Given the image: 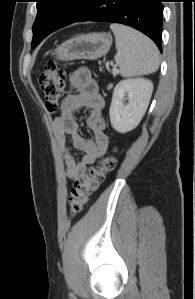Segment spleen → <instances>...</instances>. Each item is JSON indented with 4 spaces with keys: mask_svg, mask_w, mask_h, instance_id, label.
Wrapping results in <instances>:
<instances>
[{
    "mask_svg": "<svg viewBox=\"0 0 195 299\" xmlns=\"http://www.w3.org/2000/svg\"><path fill=\"white\" fill-rule=\"evenodd\" d=\"M117 53L115 62L123 77L147 75L159 68V50L155 43L139 31L123 24L112 23Z\"/></svg>",
    "mask_w": 195,
    "mask_h": 299,
    "instance_id": "3e777b00",
    "label": "spleen"
}]
</instances>
